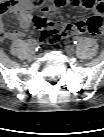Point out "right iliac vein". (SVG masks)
Here are the masks:
<instances>
[{
  "label": "right iliac vein",
  "instance_id": "right-iliac-vein-1",
  "mask_svg": "<svg viewBox=\"0 0 104 137\" xmlns=\"http://www.w3.org/2000/svg\"><path fill=\"white\" fill-rule=\"evenodd\" d=\"M35 59H36V54H35V52H31V53L29 54V56H28V60L33 61V60H35Z\"/></svg>",
  "mask_w": 104,
  "mask_h": 137
}]
</instances>
